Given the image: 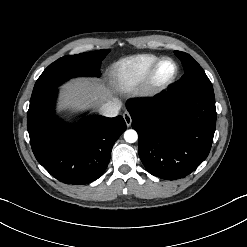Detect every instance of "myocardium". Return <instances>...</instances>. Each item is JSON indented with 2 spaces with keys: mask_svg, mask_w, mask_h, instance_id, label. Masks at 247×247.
<instances>
[{
  "mask_svg": "<svg viewBox=\"0 0 247 247\" xmlns=\"http://www.w3.org/2000/svg\"><path fill=\"white\" fill-rule=\"evenodd\" d=\"M164 61H171L174 63L176 68L175 74L167 82L163 84H157L155 82V74L159 65ZM179 74H180V66L175 59H173L172 57H161L153 64V66L150 68L149 72L147 73L145 79L143 80L140 87V94L145 97H155L164 93L174 85V83L177 81L179 77Z\"/></svg>",
  "mask_w": 247,
  "mask_h": 247,
  "instance_id": "1",
  "label": "myocardium"
}]
</instances>
